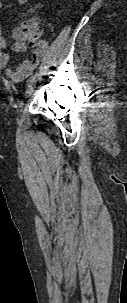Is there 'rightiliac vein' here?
Instances as JSON below:
<instances>
[{
	"instance_id": "obj_1",
	"label": "right iliac vein",
	"mask_w": 127,
	"mask_h": 303,
	"mask_svg": "<svg viewBox=\"0 0 127 303\" xmlns=\"http://www.w3.org/2000/svg\"><path fill=\"white\" fill-rule=\"evenodd\" d=\"M35 86H36V80H35L30 86H28V89H27V91H26V94H27V95H30V94L33 92Z\"/></svg>"
}]
</instances>
